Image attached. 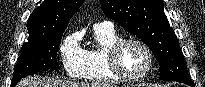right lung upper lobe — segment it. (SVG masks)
I'll return each mask as SVG.
<instances>
[{
    "label": "right lung upper lobe",
    "instance_id": "obj_1",
    "mask_svg": "<svg viewBox=\"0 0 205 87\" xmlns=\"http://www.w3.org/2000/svg\"><path fill=\"white\" fill-rule=\"evenodd\" d=\"M83 3L84 0H44L28 19L29 37L64 32L69 20Z\"/></svg>",
    "mask_w": 205,
    "mask_h": 87
}]
</instances>
